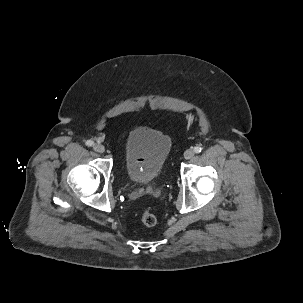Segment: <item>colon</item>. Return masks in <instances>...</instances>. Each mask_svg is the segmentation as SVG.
Instances as JSON below:
<instances>
[{
	"instance_id": "colon-1",
	"label": "colon",
	"mask_w": 303,
	"mask_h": 303,
	"mask_svg": "<svg viewBox=\"0 0 303 303\" xmlns=\"http://www.w3.org/2000/svg\"><path fill=\"white\" fill-rule=\"evenodd\" d=\"M142 223L147 227H153L157 224L156 216L149 210H144L141 214Z\"/></svg>"
}]
</instances>
